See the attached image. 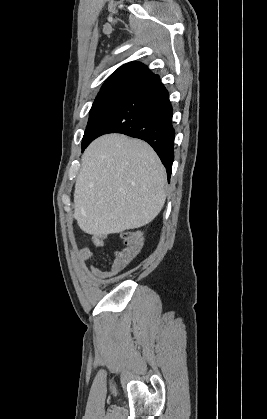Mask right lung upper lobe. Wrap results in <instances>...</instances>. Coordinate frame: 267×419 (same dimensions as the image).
Wrapping results in <instances>:
<instances>
[{
    "label": "right lung upper lobe",
    "mask_w": 267,
    "mask_h": 419,
    "mask_svg": "<svg viewBox=\"0 0 267 419\" xmlns=\"http://www.w3.org/2000/svg\"><path fill=\"white\" fill-rule=\"evenodd\" d=\"M152 76L154 75L142 63L129 62L119 67L107 78L99 94L107 92L130 93Z\"/></svg>",
    "instance_id": "cb5924a9"
}]
</instances>
